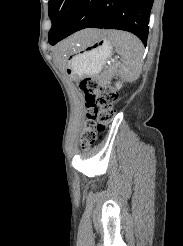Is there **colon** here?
Masks as SVG:
<instances>
[{"label": "colon", "instance_id": "1", "mask_svg": "<svg viewBox=\"0 0 183 246\" xmlns=\"http://www.w3.org/2000/svg\"><path fill=\"white\" fill-rule=\"evenodd\" d=\"M85 107L86 121L81 134V146L89 148L97 139V132L103 131L113 120L115 92L94 78H85L80 83Z\"/></svg>", "mask_w": 183, "mask_h": 246}]
</instances>
